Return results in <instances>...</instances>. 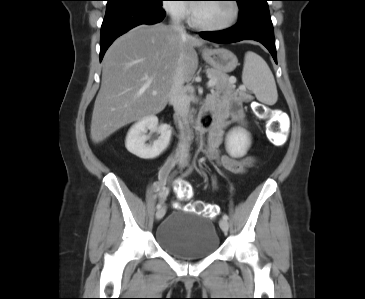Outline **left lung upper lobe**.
Listing matches in <instances>:
<instances>
[{
  "instance_id": "left-lung-upper-lobe-1",
  "label": "left lung upper lobe",
  "mask_w": 365,
  "mask_h": 299,
  "mask_svg": "<svg viewBox=\"0 0 365 299\" xmlns=\"http://www.w3.org/2000/svg\"><path fill=\"white\" fill-rule=\"evenodd\" d=\"M235 1H237V2H238L239 7H241V6H244V5H246V4H248V3H250V2H252V1H254V0H235Z\"/></svg>"
}]
</instances>
